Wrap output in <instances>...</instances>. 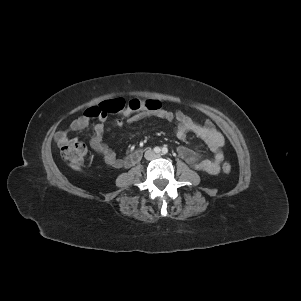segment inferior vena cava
Here are the masks:
<instances>
[{
  "label": "inferior vena cava",
  "mask_w": 301,
  "mask_h": 301,
  "mask_svg": "<svg viewBox=\"0 0 301 301\" xmlns=\"http://www.w3.org/2000/svg\"><path fill=\"white\" fill-rule=\"evenodd\" d=\"M157 154L153 150H147L144 154L145 159L147 160H153L157 158Z\"/></svg>",
  "instance_id": "obj_1"
}]
</instances>
